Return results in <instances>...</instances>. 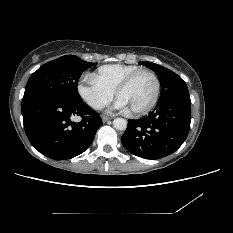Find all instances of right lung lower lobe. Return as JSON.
<instances>
[{
  "instance_id": "right-lung-lower-lobe-1",
  "label": "right lung lower lobe",
  "mask_w": 233,
  "mask_h": 233,
  "mask_svg": "<svg viewBox=\"0 0 233 233\" xmlns=\"http://www.w3.org/2000/svg\"><path fill=\"white\" fill-rule=\"evenodd\" d=\"M22 115L30 143L54 160L70 159L86 151L102 125L100 115L82 100L43 97L22 104ZM73 115L82 120L72 122Z\"/></svg>"
}]
</instances>
